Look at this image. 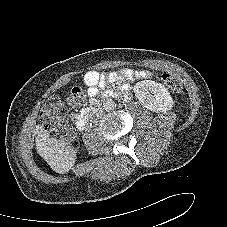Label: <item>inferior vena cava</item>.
Returning a JSON list of instances; mask_svg holds the SVG:
<instances>
[{
  "instance_id": "1",
  "label": "inferior vena cava",
  "mask_w": 227,
  "mask_h": 227,
  "mask_svg": "<svg viewBox=\"0 0 227 227\" xmlns=\"http://www.w3.org/2000/svg\"><path fill=\"white\" fill-rule=\"evenodd\" d=\"M103 115V109L102 108H94L92 112L90 113V119L91 120H97L101 118Z\"/></svg>"
}]
</instances>
